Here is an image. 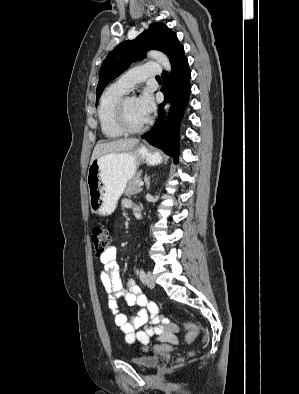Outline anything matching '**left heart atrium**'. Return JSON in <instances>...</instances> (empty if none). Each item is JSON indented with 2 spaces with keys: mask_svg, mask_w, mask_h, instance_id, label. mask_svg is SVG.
<instances>
[{
  "mask_svg": "<svg viewBox=\"0 0 299 394\" xmlns=\"http://www.w3.org/2000/svg\"><path fill=\"white\" fill-rule=\"evenodd\" d=\"M136 104L141 114L147 119L154 110V102L150 93L145 92L136 98Z\"/></svg>",
  "mask_w": 299,
  "mask_h": 394,
  "instance_id": "39dd6f15",
  "label": "left heart atrium"
}]
</instances>
